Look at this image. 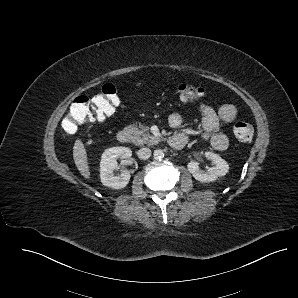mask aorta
Returning <instances> with one entry per match:
<instances>
[{
	"label": "aorta",
	"mask_w": 298,
	"mask_h": 298,
	"mask_svg": "<svg viewBox=\"0 0 298 298\" xmlns=\"http://www.w3.org/2000/svg\"><path fill=\"white\" fill-rule=\"evenodd\" d=\"M153 155H154V159L161 160L164 157V152L161 149H156L154 151V154Z\"/></svg>",
	"instance_id": "1"
}]
</instances>
